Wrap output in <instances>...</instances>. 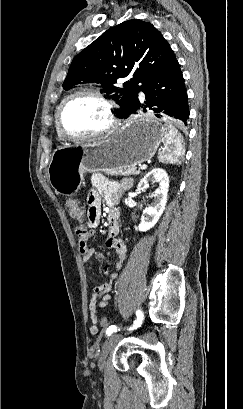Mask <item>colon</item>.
Returning a JSON list of instances; mask_svg holds the SVG:
<instances>
[{
	"label": "colon",
	"mask_w": 243,
	"mask_h": 409,
	"mask_svg": "<svg viewBox=\"0 0 243 409\" xmlns=\"http://www.w3.org/2000/svg\"><path fill=\"white\" fill-rule=\"evenodd\" d=\"M66 209L68 215L75 223V233L79 237H84L88 231L84 221L85 215L83 206L77 199H70L66 203ZM100 326L104 328L108 327L109 320L106 317H102L100 319Z\"/></svg>",
	"instance_id": "1"
}]
</instances>
